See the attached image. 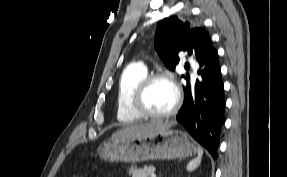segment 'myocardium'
Returning a JSON list of instances; mask_svg holds the SVG:
<instances>
[{
  "label": "myocardium",
  "mask_w": 287,
  "mask_h": 177,
  "mask_svg": "<svg viewBox=\"0 0 287 177\" xmlns=\"http://www.w3.org/2000/svg\"><path fill=\"white\" fill-rule=\"evenodd\" d=\"M156 81H165L171 85L175 93V101L173 106L166 112L153 113L147 110L144 106V97L149 87ZM182 96L181 91L174 79L167 73L157 72L147 74L136 87L132 99L131 106L133 110L141 117L148 119H164L176 114L181 106Z\"/></svg>",
  "instance_id": "obj_1"
}]
</instances>
